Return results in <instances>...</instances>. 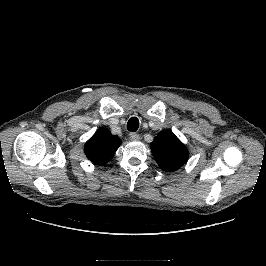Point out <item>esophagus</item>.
Returning a JSON list of instances; mask_svg holds the SVG:
<instances>
[{
  "label": "esophagus",
  "mask_w": 266,
  "mask_h": 266,
  "mask_svg": "<svg viewBox=\"0 0 266 266\" xmlns=\"http://www.w3.org/2000/svg\"><path fill=\"white\" fill-rule=\"evenodd\" d=\"M129 137H130V139L133 140V141H138V140H140V136H139L137 133H134V132L130 133V134H129Z\"/></svg>",
  "instance_id": "obj_1"
}]
</instances>
